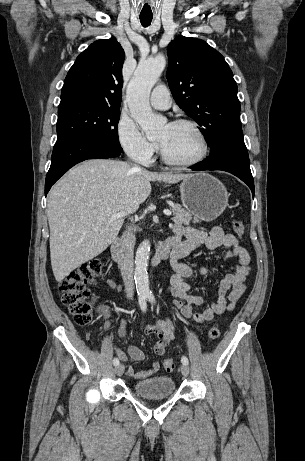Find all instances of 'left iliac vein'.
Masks as SVG:
<instances>
[{"mask_svg":"<svg viewBox=\"0 0 305 461\" xmlns=\"http://www.w3.org/2000/svg\"><path fill=\"white\" fill-rule=\"evenodd\" d=\"M181 373L185 377H187L189 375V367H188V365L183 364L181 366Z\"/></svg>","mask_w":305,"mask_h":461,"instance_id":"4c4485c4","label":"left iliac vein"}]
</instances>
